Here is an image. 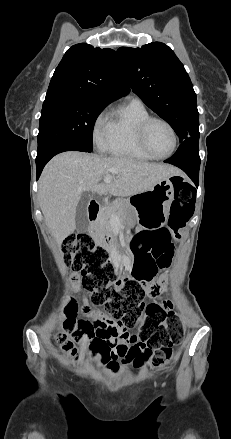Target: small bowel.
<instances>
[{
	"mask_svg": "<svg viewBox=\"0 0 231 439\" xmlns=\"http://www.w3.org/2000/svg\"><path fill=\"white\" fill-rule=\"evenodd\" d=\"M137 235H141L142 239L137 242L136 251H133L131 246L134 265L142 263L149 268L158 269L157 263L161 256L168 254L172 259L173 241L180 236V233H175L169 227H160L154 230L141 231ZM136 236L133 237V240ZM79 278V275L76 274L75 281H78ZM164 284L165 280L154 284L155 288H148L147 292L150 295H156L163 288ZM153 304L159 305L166 310L172 308L171 301H165L162 304L151 303L148 306ZM83 313L95 320V324L89 321L81 322V327L88 331L94 327L97 328L95 333L92 332V343L109 349L115 359L131 362L141 352L149 353L148 349L138 343L136 336L131 335L123 324L109 318L100 311L90 312L88 309H84Z\"/></svg>",
	"mask_w": 231,
	"mask_h": 439,
	"instance_id": "1",
	"label": "small bowel"
}]
</instances>
